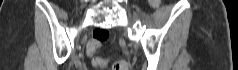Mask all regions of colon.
I'll return each instance as SVG.
<instances>
[{
  "label": "colon",
  "instance_id": "obj_1",
  "mask_svg": "<svg viewBox=\"0 0 238 70\" xmlns=\"http://www.w3.org/2000/svg\"><path fill=\"white\" fill-rule=\"evenodd\" d=\"M151 4L153 6H156L158 4V1L152 0ZM108 37H109L108 31L103 30V29H97L94 32V39L91 41V43L88 46L89 55H95L99 48L100 43L102 41L106 40ZM93 65L97 69H106L107 68V62L104 59L97 57V56H95L93 58ZM127 69H128V67H127L126 62L120 61V62H117L116 64H114L112 70H127Z\"/></svg>",
  "mask_w": 238,
  "mask_h": 70
}]
</instances>
